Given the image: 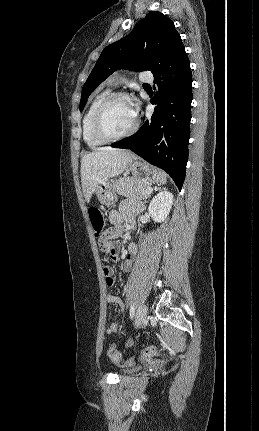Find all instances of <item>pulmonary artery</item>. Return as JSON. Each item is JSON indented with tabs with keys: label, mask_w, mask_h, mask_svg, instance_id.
Listing matches in <instances>:
<instances>
[{
	"label": "pulmonary artery",
	"mask_w": 259,
	"mask_h": 431,
	"mask_svg": "<svg viewBox=\"0 0 259 431\" xmlns=\"http://www.w3.org/2000/svg\"><path fill=\"white\" fill-rule=\"evenodd\" d=\"M140 80L142 82H151L153 80V76L150 73H142L140 76Z\"/></svg>",
	"instance_id": "e3ab8cb5"
}]
</instances>
